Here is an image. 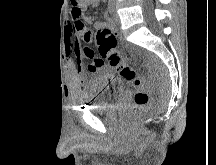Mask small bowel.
<instances>
[{
  "label": "small bowel",
  "mask_w": 216,
  "mask_h": 165,
  "mask_svg": "<svg viewBox=\"0 0 216 165\" xmlns=\"http://www.w3.org/2000/svg\"><path fill=\"white\" fill-rule=\"evenodd\" d=\"M100 0H87L85 6H95ZM92 23L93 18L83 13V9L77 10L72 8L71 19L67 28V44L69 50L75 55L78 65L81 64L83 55L80 48V39L86 43L93 41V32L84 25ZM97 27H110L111 23L108 19H102L96 22Z\"/></svg>",
  "instance_id": "obj_1"
}]
</instances>
